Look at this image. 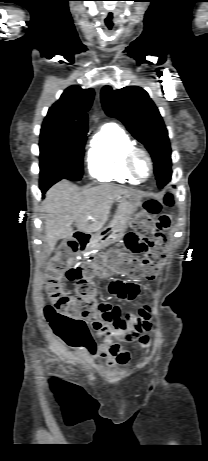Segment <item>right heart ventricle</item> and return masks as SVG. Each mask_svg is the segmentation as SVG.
Returning <instances> with one entry per match:
<instances>
[{
  "mask_svg": "<svg viewBox=\"0 0 208 461\" xmlns=\"http://www.w3.org/2000/svg\"><path fill=\"white\" fill-rule=\"evenodd\" d=\"M134 145L129 135L116 124L104 125L88 151V170L99 181L134 180L126 167V154Z\"/></svg>",
  "mask_w": 208,
  "mask_h": 461,
  "instance_id": "right-heart-ventricle-1",
  "label": "right heart ventricle"
}]
</instances>
